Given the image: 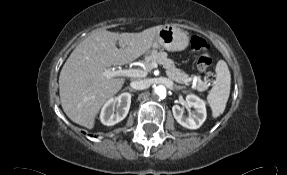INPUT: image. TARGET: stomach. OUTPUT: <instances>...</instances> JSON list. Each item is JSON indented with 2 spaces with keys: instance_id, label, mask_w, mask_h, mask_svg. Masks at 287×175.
<instances>
[{
  "instance_id": "stomach-1",
  "label": "stomach",
  "mask_w": 287,
  "mask_h": 175,
  "mask_svg": "<svg viewBox=\"0 0 287 175\" xmlns=\"http://www.w3.org/2000/svg\"><path fill=\"white\" fill-rule=\"evenodd\" d=\"M189 43L188 35L182 29L165 24L158 30L153 42V49H165L167 51H182Z\"/></svg>"
}]
</instances>
